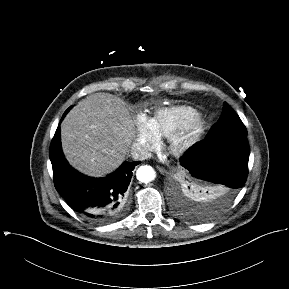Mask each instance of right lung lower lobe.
<instances>
[{
  "mask_svg": "<svg viewBox=\"0 0 289 289\" xmlns=\"http://www.w3.org/2000/svg\"><path fill=\"white\" fill-rule=\"evenodd\" d=\"M55 188L72 209L87 221L105 224L126 213L128 186L132 171L140 162H125L104 178L87 177L73 169L65 159L60 142V127L50 145Z\"/></svg>",
  "mask_w": 289,
  "mask_h": 289,
  "instance_id": "obj_1",
  "label": "right lung lower lobe"
}]
</instances>
